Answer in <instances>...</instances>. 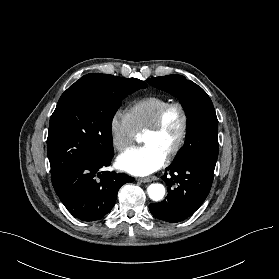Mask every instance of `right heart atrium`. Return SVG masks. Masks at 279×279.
I'll use <instances>...</instances> for the list:
<instances>
[{"label": "right heart atrium", "instance_id": "1", "mask_svg": "<svg viewBox=\"0 0 279 279\" xmlns=\"http://www.w3.org/2000/svg\"><path fill=\"white\" fill-rule=\"evenodd\" d=\"M109 128L112 143L119 152L127 150L137 139L138 131L129 115L121 110L111 116Z\"/></svg>", "mask_w": 279, "mask_h": 279}]
</instances>
